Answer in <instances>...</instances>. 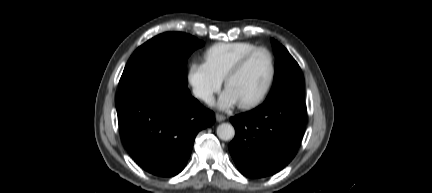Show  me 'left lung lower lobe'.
Segmentation results:
<instances>
[{
    "label": "left lung lower lobe",
    "mask_w": 432,
    "mask_h": 193,
    "mask_svg": "<svg viewBox=\"0 0 432 193\" xmlns=\"http://www.w3.org/2000/svg\"><path fill=\"white\" fill-rule=\"evenodd\" d=\"M306 114L304 102L274 99L230 118L236 134L229 150L239 171L260 178L283 169L299 148Z\"/></svg>",
    "instance_id": "left-lung-lower-lobe-1"
}]
</instances>
